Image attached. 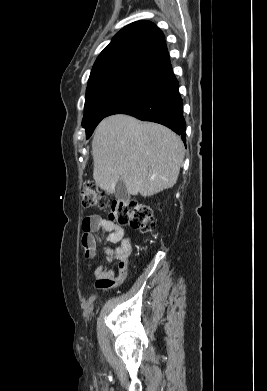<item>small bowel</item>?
Here are the masks:
<instances>
[{"instance_id": "obj_1", "label": "small bowel", "mask_w": 267, "mask_h": 391, "mask_svg": "<svg viewBox=\"0 0 267 391\" xmlns=\"http://www.w3.org/2000/svg\"><path fill=\"white\" fill-rule=\"evenodd\" d=\"M82 230V245L87 258H93L96 252V243L93 237L95 232H107L106 243L108 244L119 243V246L116 248H104L108 262L113 260L118 262L117 269L114 271L99 265L94 272L96 287L106 289L122 283L127 273V263L133 249L131 237L125 235L122 227L111 220L104 219L100 215L85 217L82 222Z\"/></svg>"}]
</instances>
